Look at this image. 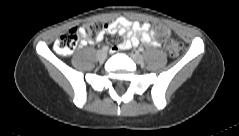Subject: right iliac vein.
I'll return each instance as SVG.
<instances>
[{"label":"right iliac vein","instance_id":"right-iliac-vein-1","mask_svg":"<svg viewBox=\"0 0 239 136\" xmlns=\"http://www.w3.org/2000/svg\"><path fill=\"white\" fill-rule=\"evenodd\" d=\"M106 57H107V51L99 50L97 52V58H98L99 61H104L106 59Z\"/></svg>","mask_w":239,"mask_h":136}]
</instances>
